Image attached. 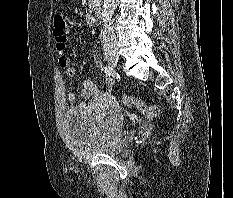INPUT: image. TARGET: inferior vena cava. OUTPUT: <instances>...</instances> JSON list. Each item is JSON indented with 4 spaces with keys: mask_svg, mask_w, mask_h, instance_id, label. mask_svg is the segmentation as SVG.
Masks as SVG:
<instances>
[{
    "mask_svg": "<svg viewBox=\"0 0 233 198\" xmlns=\"http://www.w3.org/2000/svg\"><path fill=\"white\" fill-rule=\"evenodd\" d=\"M103 49L105 52L116 51V37L114 28L112 26L111 18L104 19V26L102 30Z\"/></svg>",
    "mask_w": 233,
    "mask_h": 198,
    "instance_id": "1",
    "label": "inferior vena cava"
}]
</instances>
